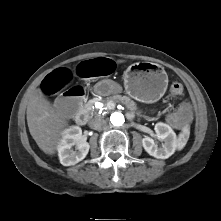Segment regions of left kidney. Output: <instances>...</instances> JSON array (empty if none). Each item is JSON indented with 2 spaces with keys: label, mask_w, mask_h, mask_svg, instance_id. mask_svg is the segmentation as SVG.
I'll use <instances>...</instances> for the list:
<instances>
[{
  "label": "left kidney",
  "mask_w": 221,
  "mask_h": 221,
  "mask_svg": "<svg viewBox=\"0 0 221 221\" xmlns=\"http://www.w3.org/2000/svg\"><path fill=\"white\" fill-rule=\"evenodd\" d=\"M154 129L158 139L163 142L162 146L158 147L152 138L145 137L142 139L143 148L149 155L157 159H167L174 154L177 148L176 134L169 125L161 122L157 123Z\"/></svg>",
  "instance_id": "1"
}]
</instances>
